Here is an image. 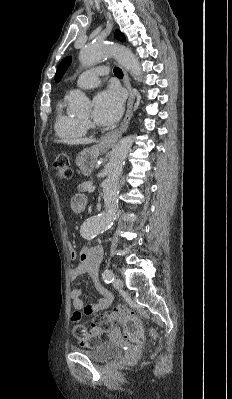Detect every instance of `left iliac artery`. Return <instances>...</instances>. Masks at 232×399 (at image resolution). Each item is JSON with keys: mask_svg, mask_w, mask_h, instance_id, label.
Wrapping results in <instances>:
<instances>
[{"mask_svg": "<svg viewBox=\"0 0 232 399\" xmlns=\"http://www.w3.org/2000/svg\"><path fill=\"white\" fill-rule=\"evenodd\" d=\"M103 280L106 284H110L114 281V273L111 269L104 270Z\"/></svg>", "mask_w": 232, "mask_h": 399, "instance_id": "44dca946", "label": "left iliac artery"}]
</instances>
